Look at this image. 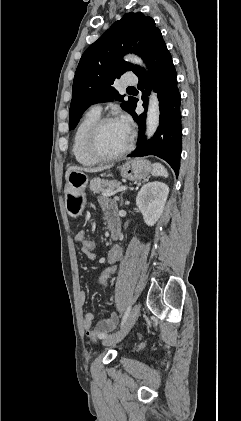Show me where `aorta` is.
<instances>
[{
	"instance_id": "aorta-1",
	"label": "aorta",
	"mask_w": 241,
	"mask_h": 421,
	"mask_svg": "<svg viewBox=\"0 0 241 421\" xmlns=\"http://www.w3.org/2000/svg\"><path fill=\"white\" fill-rule=\"evenodd\" d=\"M127 60L131 63L138 64L144 66L142 60L138 56L129 55L127 56ZM159 101L157 99L156 93L152 92L149 97V104H148V111H147V118H146V136L150 138L155 133L158 125H159Z\"/></svg>"
}]
</instances>
